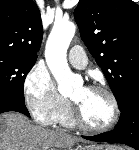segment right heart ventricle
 <instances>
[{"instance_id": "1", "label": "right heart ventricle", "mask_w": 139, "mask_h": 150, "mask_svg": "<svg viewBox=\"0 0 139 150\" xmlns=\"http://www.w3.org/2000/svg\"><path fill=\"white\" fill-rule=\"evenodd\" d=\"M57 122H59L62 126L67 127V128H72L76 125L73 120V117H72V110H71L70 106L61 115V117L59 118V120Z\"/></svg>"}]
</instances>
